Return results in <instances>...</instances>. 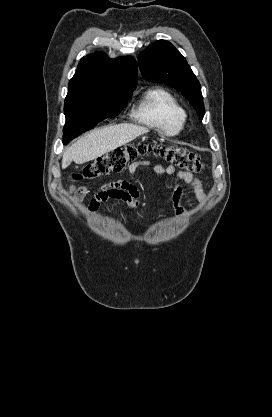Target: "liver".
I'll use <instances>...</instances> for the list:
<instances>
[{"label": "liver", "instance_id": "1", "mask_svg": "<svg viewBox=\"0 0 272 417\" xmlns=\"http://www.w3.org/2000/svg\"><path fill=\"white\" fill-rule=\"evenodd\" d=\"M148 131L146 127L127 123L94 130L64 151L62 168H67L72 161L83 164L94 160Z\"/></svg>", "mask_w": 272, "mask_h": 417}]
</instances>
